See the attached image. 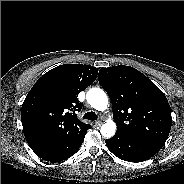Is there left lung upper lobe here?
I'll return each instance as SVG.
<instances>
[{
  "instance_id": "obj_1",
  "label": "left lung upper lobe",
  "mask_w": 184,
  "mask_h": 184,
  "mask_svg": "<svg viewBox=\"0 0 184 184\" xmlns=\"http://www.w3.org/2000/svg\"><path fill=\"white\" fill-rule=\"evenodd\" d=\"M98 80L111 99L117 132L159 151L172 125L164 93L140 71L125 65L101 68Z\"/></svg>"
}]
</instances>
